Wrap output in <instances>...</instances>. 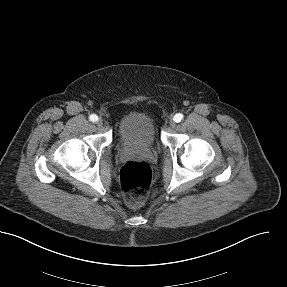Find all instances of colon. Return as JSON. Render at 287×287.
Returning <instances> with one entry per match:
<instances>
[{"label": "colon", "instance_id": "obj_1", "mask_svg": "<svg viewBox=\"0 0 287 287\" xmlns=\"http://www.w3.org/2000/svg\"><path fill=\"white\" fill-rule=\"evenodd\" d=\"M151 180L152 171L145 162L130 161L121 168L120 183L128 205L137 206L145 200Z\"/></svg>", "mask_w": 287, "mask_h": 287}]
</instances>
